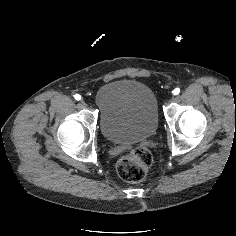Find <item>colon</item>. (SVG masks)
Returning a JSON list of instances; mask_svg holds the SVG:
<instances>
[{"label":"colon","instance_id":"1","mask_svg":"<svg viewBox=\"0 0 236 236\" xmlns=\"http://www.w3.org/2000/svg\"><path fill=\"white\" fill-rule=\"evenodd\" d=\"M151 163V153L147 149L139 148L119 159L116 169L123 180L138 183L146 177Z\"/></svg>","mask_w":236,"mask_h":236}]
</instances>
